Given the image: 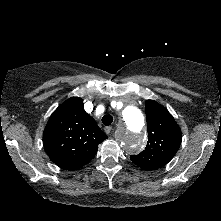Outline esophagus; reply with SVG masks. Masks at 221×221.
I'll use <instances>...</instances> for the list:
<instances>
[{
	"label": "esophagus",
	"mask_w": 221,
	"mask_h": 221,
	"mask_svg": "<svg viewBox=\"0 0 221 221\" xmlns=\"http://www.w3.org/2000/svg\"><path fill=\"white\" fill-rule=\"evenodd\" d=\"M111 130H112L111 126H107V127L104 128V131H105L106 134H109L111 132Z\"/></svg>",
	"instance_id": "1"
}]
</instances>
